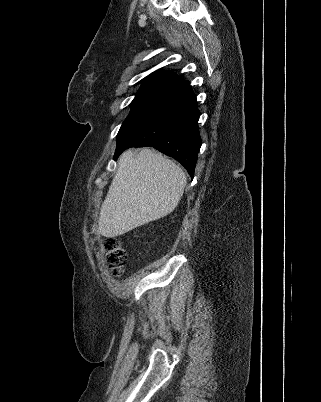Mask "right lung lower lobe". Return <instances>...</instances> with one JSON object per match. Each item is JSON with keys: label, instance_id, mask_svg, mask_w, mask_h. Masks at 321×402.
<instances>
[{"label": "right lung lower lobe", "instance_id": "98d812e1", "mask_svg": "<svg viewBox=\"0 0 321 402\" xmlns=\"http://www.w3.org/2000/svg\"><path fill=\"white\" fill-rule=\"evenodd\" d=\"M200 112L188 81L117 137L114 159L130 147L151 146L181 163L191 177L201 147Z\"/></svg>", "mask_w": 321, "mask_h": 402}]
</instances>
